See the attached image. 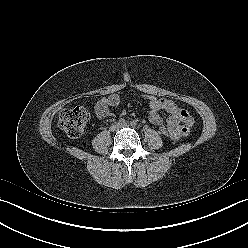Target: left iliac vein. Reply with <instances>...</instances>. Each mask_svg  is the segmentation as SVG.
Masks as SVG:
<instances>
[{
	"mask_svg": "<svg viewBox=\"0 0 248 248\" xmlns=\"http://www.w3.org/2000/svg\"><path fill=\"white\" fill-rule=\"evenodd\" d=\"M129 125L127 123L120 124V127H128Z\"/></svg>",
	"mask_w": 248,
	"mask_h": 248,
	"instance_id": "4c4485c4",
	"label": "left iliac vein"
}]
</instances>
